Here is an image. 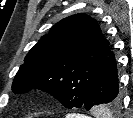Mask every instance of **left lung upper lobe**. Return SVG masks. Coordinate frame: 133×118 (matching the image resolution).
<instances>
[{"instance_id":"1","label":"left lung upper lobe","mask_w":133,"mask_h":118,"mask_svg":"<svg viewBox=\"0 0 133 118\" xmlns=\"http://www.w3.org/2000/svg\"><path fill=\"white\" fill-rule=\"evenodd\" d=\"M111 52L96 20L84 14L67 17L41 37L20 66L14 93L44 90L67 108L84 107L85 98ZM120 102L107 109L117 111Z\"/></svg>"}]
</instances>
